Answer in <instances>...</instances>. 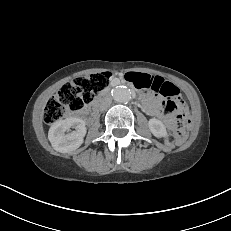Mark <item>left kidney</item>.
I'll return each mask as SVG.
<instances>
[{
  "instance_id": "5707ae66",
  "label": "left kidney",
  "mask_w": 231,
  "mask_h": 231,
  "mask_svg": "<svg viewBox=\"0 0 231 231\" xmlns=\"http://www.w3.org/2000/svg\"><path fill=\"white\" fill-rule=\"evenodd\" d=\"M148 125H149V129H150L151 133L155 137L161 138V137L167 136L166 127L160 120H158L156 118H152L149 120Z\"/></svg>"
}]
</instances>
